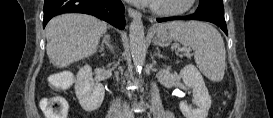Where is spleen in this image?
Listing matches in <instances>:
<instances>
[{
	"mask_svg": "<svg viewBox=\"0 0 273 118\" xmlns=\"http://www.w3.org/2000/svg\"><path fill=\"white\" fill-rule=\"evenodd\" d=\"M169 34L184 47L194 50L200 71L210 80L220 82L225 73V45L220 33L211 25L199 22H170L159 26L158 34Z\"/></svg>",
	"mask_w": 273,
	"mask_h": 118,
	"instance_id": "spleen-1",
	"label": "spleen"
}]
</instances>
